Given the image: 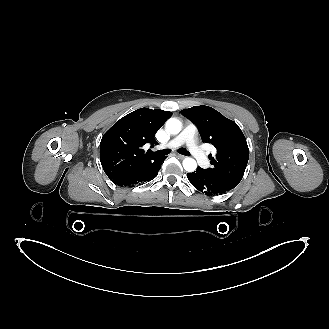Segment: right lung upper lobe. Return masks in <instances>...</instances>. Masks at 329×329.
<instances>
[{"label":"right lung upper lobe","instance_id":"cb5924a9","mask_svg":"<svg viewBox=\"0 0 329 329\" xmlns=\"http://www.w3.org/2000/svg\"><path fill=\"white\" fill-rule=\"evenodd\" d=\"M171 115L169 111L141 108L118 120L104 134L100 161L111 181L126 179L159 158L145 153L142 147L157 143L154 136Z\"/></svg>","mask_w":329,"mask_h":329}]
</instances>
